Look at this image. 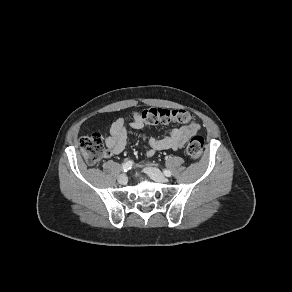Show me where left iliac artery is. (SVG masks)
Masks as SVG:
<instances>
[{"mask_svg": "<svg viewBox=\"0 0 292 292\" xmlns=\"http://www.w3.org/2000/svg\"><path fill=\"white\" fill-rule=\"evenodd\" d=\"M164 175L167 176V177H170L172 175L171 171L170 170H164L163 171Z\"/></svg>", "mask_w": 292, "mask_h": 292, "instance_id": "left-iliac-artery-1", "label": "left iliac artery"}]
</instances>
